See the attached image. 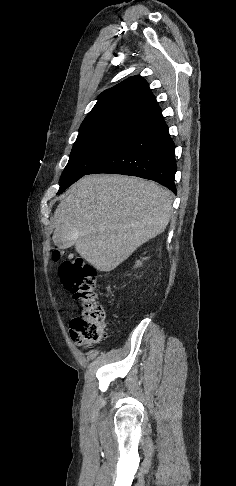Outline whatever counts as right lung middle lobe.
Listing matches in <instances>:
<instances>
[{
  "label": "right lung middle lobe",
  "mask_w": 236,
  "mask_h": 486,
  "mask_svg": "<svg viewBox=\"0 0 236 486\" xmlns=\"http://www.w3.org/2000/svg\"><path fill=\"white\" fill-rule=\"evenodd\" d=\"M138 124H116L78 134L69 161L62 174L61 194L75 181L128 142L138 131Z\"/></svg>",
  "instance_id": "1"
}]
</instances>
